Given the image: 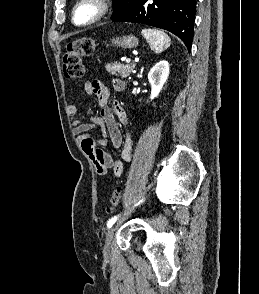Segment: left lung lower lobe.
I'll use <instances>...</instances> for the list:
<instances>
[{
  "instance_id": "0a47b994",
  "label": "left lung lower lobe",
  "mask_w": 259,
  "mask_h": 294,
  "mask_svg": "<svg viewBox=\"0 0 259 294\" xmlns=\"http://www.w3.org/2000/svg\"><path fill=\"white\" fill-rule=\"evenodd\" d=\"M196 0H136L134 5L112 21L142 23L170 31L189 52L194 35Z\"/></svg>"
}]
</instances>
